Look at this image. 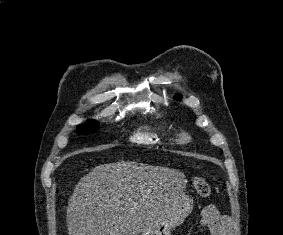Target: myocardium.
Wrapping results in <instances>:
<instances>
[{"instance_id": "1", "label": "myocardium", "mask_w": 283, "mask_h": 235, "mask_svg": "<svg viewBox=\"0 0 283 235\" xmlns=\"http://www.w3.org/2000/svg\"><path fill=\"white\" fill-rule=\"evenodd\" d=\"M181 140L182 141H188L189 140V136L187 133H182L181 134Z\"/></svg>"}]
</instances>
